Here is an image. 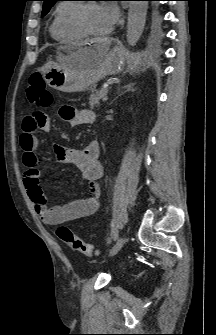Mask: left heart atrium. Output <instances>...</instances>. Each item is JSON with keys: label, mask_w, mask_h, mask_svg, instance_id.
I'll return each instance as SVG.
<instances>
[{"label": "left heart atrium", "mask_w": 216, "mask_h": 335, "mask_svg": "<svg viewBox=\"0 0 216 335\" xmlns=\"http://www.w3.org/2000/svg\"><path fill=\"white\" fill-rule=\"evenodd\" d=\"M101 11L110 31L119 21L120 12L118 7L113 3H104L101 6Z\"/></svg>", "instance_id": "obj_1"}]
</instances>
